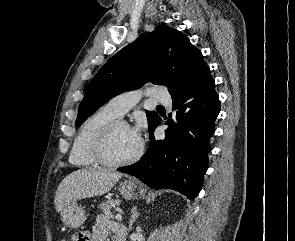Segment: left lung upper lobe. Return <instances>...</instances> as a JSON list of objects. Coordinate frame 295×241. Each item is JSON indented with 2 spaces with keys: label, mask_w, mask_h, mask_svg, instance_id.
Listing matches in <instances>:
<instances>
[{
  "label": "left lung upper lobe",
  "mask_w": 295,
  "mask_h": 241,
  "mask_svg": "<svg viewBox=\"0 0 295 241\" xmlns=\"http://www.w3.org/2000/svg\"><path fill=\"white\" fill-rule=\"evenodd\" d=\"M210 75L201 51L182 32L158 26L140 35L117 52L88 84L78 108L76 126L112 97L151 81L165 85L171 96L188 89L199 78ZM149 132L160 118L146 111Z\"/></svg>",
  "instance_id": "1"
}]
</instances>
